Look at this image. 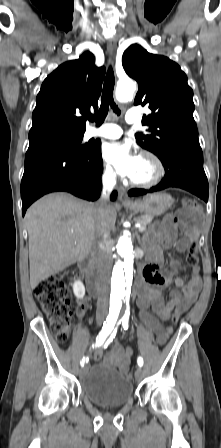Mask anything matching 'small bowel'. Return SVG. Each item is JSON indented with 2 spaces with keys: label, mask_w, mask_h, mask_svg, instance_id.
<instances>
[{
  "label": "small bowel",
  "mask_w": 221,
  "mask_h": 448,
  "mask_svg": "<svg viewBox=\"0 0 221 448\" xmlns=\"http://www.w3.org/2000/svg\"><path fill=\"white\" fill-rule=\"evenodd\" d=\"M198 238V229L193 224L179 228L172 216L164 219L155 234L146 242V252L150 260L142 272V280L137 285V305L140 316L154 332L157 342L163 345L173 332L172 326L163 327L159 320L148 310L151 309L160 320L169 322L174 315L180 317L196 300L202 287L199 266H189L185 261L170 256V267L162 269L164 250L175 247L179 252H185L190 242ZM188 268L189 280L186 282L178 273ZM173 277L175 289L169 293L170 300L165 302L163 290L170 284ZM90 306L88 298L78 300L77 315L83 317ZM133 350L117 343L106 354L97 351L93 359L98 362L104 359L118 370L126 373L129 369Z\"/></svg>",
  "instance_id": "small-bowel-1"
}]
</instances>
